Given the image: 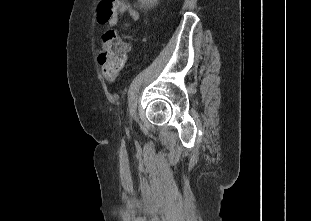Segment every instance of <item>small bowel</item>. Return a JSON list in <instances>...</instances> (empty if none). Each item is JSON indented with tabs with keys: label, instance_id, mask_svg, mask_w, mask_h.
Instances as JSON below:
<instances>
[{
	"label": "small bowel",
	"instance_id": "small-bowel-1",
	"mask_svg": "<svg viewBox=\"0 0 311 221\" xmlns=\"http://www.w3.org/2000/svg\"><path fill=\"white\" fill-rule=\"evenodd\" d=\"M127 15L129 17L130 20L132 21H137L140 17L139 15V11L137 10V8L132 5L131 3H129L128 1L125 0H117L116 4L114 6V13H113V17L110 21V25L111 26H120L119 24V18ZM124 28H129L128 24H122L121 25ZM126 52L127 51H131V46H126L125 47Z\"/></svg>",
	"mask_w": 311,
	"mask_h": 221
}]
</instances>
